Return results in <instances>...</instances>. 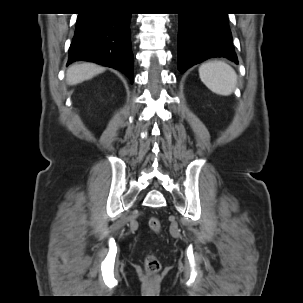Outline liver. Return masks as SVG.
I'll return each instance as SVG.
<instances>
[{"mask_svg": "<svg viewBox=\"0 0 303 303\" xmlns=\"http://www.w3.org/2000/svg\"><path fill=\"white\" fill-rule=\"evenodd\" d=\"M105 69L93 63L74 64L66 72V81L69 85H76L95 75L102 73Z\"/></svg>", "mask_w": 303, "mask_h": 303, "instance_id": "obj_1", "label": "liver"}]
</instances>
